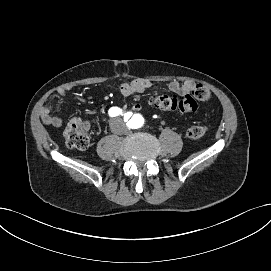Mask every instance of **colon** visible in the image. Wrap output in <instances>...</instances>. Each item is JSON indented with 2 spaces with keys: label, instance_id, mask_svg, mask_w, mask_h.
Instances as JSON below:
<instances>
[{
  "label": "colon",
  "instance_id": "1",
  "mask_svg": "<svg viewBox=\"0 0 271 271\" xmlns=\"http://www.w3.org/2000/svg\"><path fill=\"white\" fill-rule=\"evenodd\" d=\"M211 91L203 86L197 85L195 90L182 98L160 94L155 96L151 103L154 107L165 111L194 112L198 108L199 101H208L211 99ZM207 128L205 126H192L188 129L186 135L189 139H200L205 135ZM65 143L67 147L78 150H85L91 144V138L88 134L87 125L80 119H72L64 132Z\"/></svg>",
  "mask_w": 271,
  "mask_h": 271
}]
</instances>
